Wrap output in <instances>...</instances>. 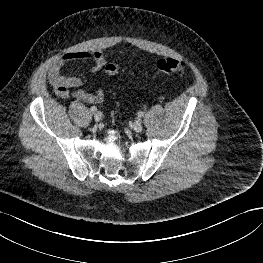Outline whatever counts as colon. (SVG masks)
<instances>
[{
	"label": "colon",
	"mask_w": 263,
	"mask_h": 263,
	"mask_svg": "<svg viewBox=\"0 0 263 263\" xmlns=\"http://www.w3.org/2000/svg\"><path fill=\"white\" fill-rule=\"evenodd\" d=\"M156 67L159 72L167 75L183 76L186 73L185 63L182 60L172 57L160 59ZM105 70L112 75L120 74L123 71L119 65L113 63L107 64Z\"/></svg>",
	"instance_id": "5ec220e1"
}]
</instances>
